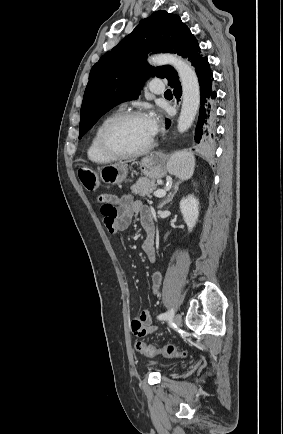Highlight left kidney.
<instances>
[{"label":"left kidney","mask_w":283,"mask_h":434,"mask_svg":"<svg viewBox=\"0 0 283 434\" xmlns=\"http://www.w3.org/2000/svg\"><path fill=\"white\" fill-rule=\"evenodd\" d=\"M180 211L188 227V231L191 232L199 217L198 199H196L194 195H188L186 198H183L180 202Z\"/></svg>","instance_id":"5707ae66"}]
</instances>
